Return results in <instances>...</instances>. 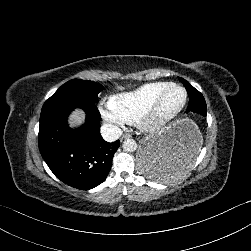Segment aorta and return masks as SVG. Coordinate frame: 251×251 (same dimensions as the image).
Wrapping results in <instances>:
<instances>
[{
    "label": "aorta",
    "instance_id": "aorta-1",
    "mask_svg": "<svg viewBox=\"0 0 251 251\" xmlns=\"http://www.w3.org/2000/svg\"><path fill=\"white\" fill-rule=\"evenodd\" d=\"M122 147L127 152H133L137 148V143L133 139H125L123 141Z\"/></svg>",
    "mask_w": 251,
    "mask_h": 251
}]
</instances>
